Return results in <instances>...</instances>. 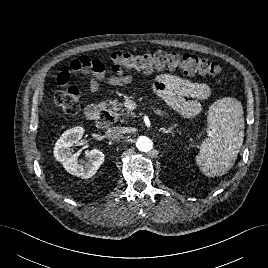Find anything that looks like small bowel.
Returning a JSON list of instances; mask_svg holds the SVG:
<instances>
[{
	"label": "small bowel",
	"mask_w": 268,
	"mask_h": 268,
	"mask_svg": "<svg viewBox=\"0 0 268 268\" xmlns=\"http://www.w3.org/2000/svg\"><path fill=\"white\" fill-rule=\"evenodd\" d=\"M68 67L72 71H80L89 79L88 89L96 94L100 83L110 86H126L132 82V76L123 71L108 74L104 63L94 57L81 56L72 60ZM63 80L65 77H62ZM154 92L174 111L185 117H195L201 111L200 101L207 100L212 95L207 83L193 82L174 74H160L153 83ZM192 98L188 100L187 98Z\"/></svg>",
	"instance_id": "1"
}]
</instances>
